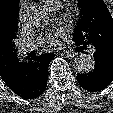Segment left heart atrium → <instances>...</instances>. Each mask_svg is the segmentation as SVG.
Wrapping results in <instances>:
<instances>
[{
	"mask_svg": "<svg viewBox=\"0 0 113 113\" xmlns=\"http://www.w3.org/2000/svg\"><path fill=\"white\" fill-rule=\"evenodd\" d=\"M64 29L63 28H58L54 31L46 33L41 41L44 46L46 47H55L59 45V38L63 36L64 34Z\"/></svg>",
	"mask_w": 113,
	"mask_h": 113,
	"instance_id": "left-heart-atrium-1",
	"label": "left heart atrium"
}]
</instances>
